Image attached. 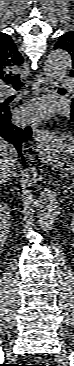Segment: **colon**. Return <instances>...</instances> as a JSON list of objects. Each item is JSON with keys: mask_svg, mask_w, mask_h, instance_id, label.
Returning a JSON list of instances; mask_svg holds the SVG:
<instances>
[{"mask_svg": "<svg viewBox=\"0 0 74 366\" xmlns=\"http://www.w3.org/2000/svg\"><path fill=\"white\" fill-rule=\"evenodd\" d=\"M29 366H46L45 364H43V363H35V364H33V365H29Z\"/></svg>", "mask_w": 74, "mask_h": 366, "instance_id": "1", "label": "colon"}]
</instances>
